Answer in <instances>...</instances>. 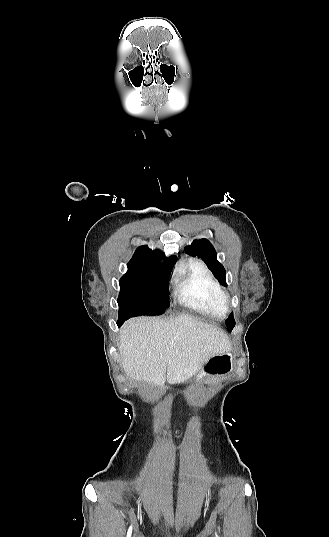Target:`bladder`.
<instances>
[{
  "instance_id": "obj_1",
  "label": "bladder",
  "mask_w": 329,
  "mask_h": 537,
  "mask_svg": "<svg viewBox=\"0 0 329 537\" xmlns=\"http://www.w3.org/2000/svg\"><path fill=\"white\" fill-rule=\"evenodd\" d=\"M168 537H181V536H177V535H170Z\"/></svg>"
}]
</instances>
